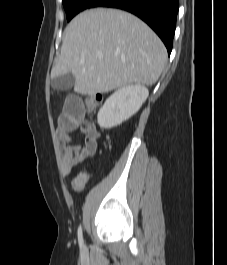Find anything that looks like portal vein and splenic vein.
I'll return each mask as SVG.
<instances>
[{"label": "portal vein and splenic vein", "mask_w": 227, "mask_h": 265, "mask_svg": "<svg viewBox=\"0 0 227 265\" xmlns=\"http://www.w3.org/2000/svg\"><path fill=\"white\" fill-rule=\"evenodd\" d=\"M98 57L99 58H103V54H98Z\"/></svg>", "instance_id": "portal-vein-and-splenic-vein-1"}]
</instances>
